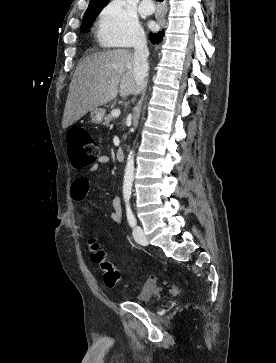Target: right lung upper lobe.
Returning a JSON list of instances; mask_svg holds the SVG:
<instances>
[{"instance_id": "right-lung-upper-lobe-1", "label": "right lung upper lobe", "mask_w": 276, "mask_h": 363, "mask_svg": "<svg viewBox=\"0 0 276 363\" xmlns=\"http://www.w3.org/2000/svg\"><path fill=\"white\" fill-rule=\"evenodd\" d=\"M110 0H90L89 5L91 4H103L106 5Z\"/></svg>"}]
</instances>
